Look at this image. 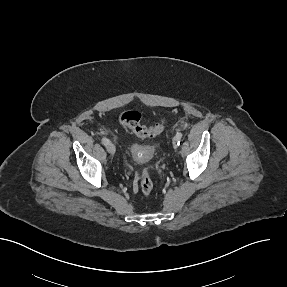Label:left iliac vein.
Here are the masks:
<instances>
[{
    "label": "left iliac vein",
    "mask_w": 287,
    "mask_h": 287,
    "mask_svg": "<svg viewBox=\"0 0 287 287\" xmlns=\"http://www.w3.org/2000/svg\"><path fill=\"white\" fill-rule=\"evenodd\" d=\"M172 144L174 148H177L178 142L176 136L173 138Z\"/></svg>",
    "instance_id": "4c4485c4"
}]
</instances>
